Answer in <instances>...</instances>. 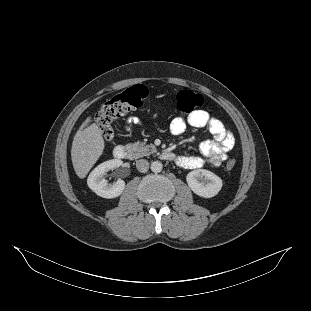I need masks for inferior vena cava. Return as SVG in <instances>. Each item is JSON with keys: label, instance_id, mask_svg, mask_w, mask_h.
Segmentation results:
<instances>
[{"label": "inferior vena cava", "instance_id": "inferior-vena-cava-1", "mask_svg": "<svg viewBox=\"0 0 311 311\" xmlns=\"http://www.w3.org/2000/svg\"><path fill=\"white\" fill-rule=\"evenodd\" d=\"M137 170L141 173H145L149 169V162L145 159H140L136 162Z\"/></svg>", "mask_w": 311, "mask_h": 311}]
</instances>
